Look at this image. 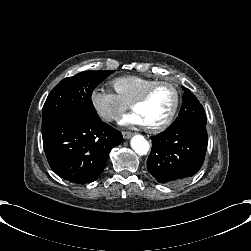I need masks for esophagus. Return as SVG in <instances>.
<instances>
[{"mask_svg":"<svg viewBox=\"0 0 251 251\" xmlns=\"http://www.w3.org/2000/svg\"><path fill=\"white\" fill-rule=\"evenodd\" d=\"M122 135H123L124 139H129L133 136V133L130 131H123Z\"/></svg>","mask_w":251,"mask_h":251,"instance_id":"obj_1","label":"esophagus"}]
</instances>
